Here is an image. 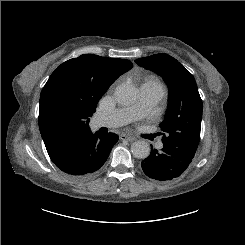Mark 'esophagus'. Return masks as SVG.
Returning a JSON list of instances; mask_svg holds the SVG:
<instances>
[{
	"instance_id": "esophagus-1",
	"label": "esophagus",
	"mask_w": 245,
	"mask_h": 245,
	"mask_svg": "<svg viewBox=\"0 0 245 245\" xmlns=\"http://www.w3.org/2000/svg\"><path fill=\"white\" fill-rule=\"evenodd\" d=\"M119 138H120L121 140H127V141H129V142H132V141L135 140L134 137L129 136V135H127V134H121V135L119 136Z\"/></svg>"
}]
</instances>
